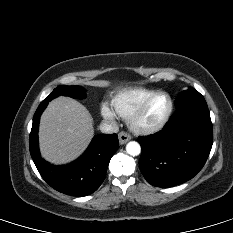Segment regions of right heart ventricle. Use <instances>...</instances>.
<instances>
[{
  "instance_id": "1",
  "label": "right heart ventricle",
  "mask_w": 233,
  "mask_h": 233,
  "mask_svg": "<svg viewBox=\"0 0 233 233\" xmlns=\"http://www.w3.org/2000/svg\"><path fill=\"white\" fill-rule=\"evenodd\" d=\"M155 92L156 90L144 87L120 90L112 97V110L118 116L127 119L144 99Z\"/></svg>"
}]
</instances>
